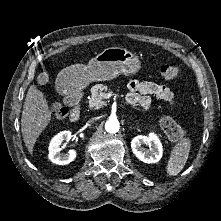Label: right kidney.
Listing matches in <instances>:
<instances>
[{
	"label": "right kidney",
	"mask_w": 221,
	"mask_h": 221,
	"mask_svg": "<svg viewBox=\"0 0 221 221\" xmlns=\"http://www.w3.org/2000/svg\"><path fill=\"white\" fill-rule=\"evenodd\" d=\"M72 137L70 131H62L55 135L49 144V160L57 165H66L74 161L77 152L75 150H70L67 154L60 153L61 144L64 141H69Z\"/></svg>",
	"instance_id": "1"
}]
</instances>
